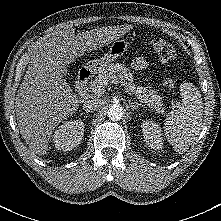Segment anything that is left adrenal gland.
Wrapping results in <instances>:
<instances>
[{
  "label": "left adrenal gland",
  "mask_w": 221,
  "mask_h": 221,
  "mask_svg": "<svg viewBox=\"0 0 221 221\" xmlns=\"http://www.w3.org/2000/svg\"><path fill=\"white\" fill-rule=\"evenodd\" d=\"M129 106L131 107L132 111L133 110H137L139 107H141V104H139L138 102H131L129 101Z\"/></svg>",
  "instance_id": "a2214340"
}]
</instances>
